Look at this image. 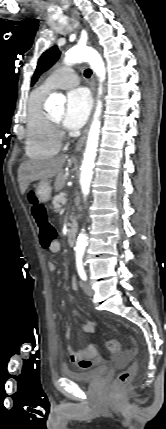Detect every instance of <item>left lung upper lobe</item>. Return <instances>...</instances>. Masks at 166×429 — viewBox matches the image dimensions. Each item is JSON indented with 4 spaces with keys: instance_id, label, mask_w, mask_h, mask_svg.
<instances>
[{
    "instance_id": "left-lung-upper-lobe-1",
    "label": "left lung upper lobe",
    "mask_w": 166,
    "mask_h": 429,
    "mask_svg": "<svg viewBox=\"0 0 166 429\" xmlns=\"http://www.w3.org/2000/svg\"><path fill=\"white\" fill-rule=\"evenodd\" d=\"M61 52L57 46H53L45 51L38 60L36 70L31 79V85L38 80L39 76L47 71L59 58Z\"/></svg>"
}]
</instances>
